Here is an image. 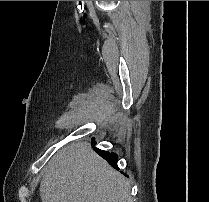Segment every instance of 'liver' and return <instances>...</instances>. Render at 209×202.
<instances>
[{"label": "liver", "instance_id": "obj_1", "mask_svg": "<svg viewBox=\"0 0 209 202\" xmlns=\"http://www.w3.org/2000/svg\"><path fill=\"white\" fill-rule=\"evenodd\" d=\"M41 175L42 202H133L128 181L85 142L62 148Z\"/></svg>", "mask_w": 209, "mask_h": 202}]
</instances>
